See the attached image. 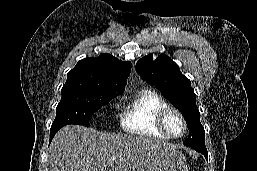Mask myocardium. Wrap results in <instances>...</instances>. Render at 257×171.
<instances>
[{"label":"myocardium","instance_id":"myocardium-1","mask_svg":"<svg viewBox=\"0 0 257 171\" xmlns=\"http://www.w3.org/2000/svg\"><path fill=\"white\" fill-rule=\"evenodd\" d=\"M172 113L178 115V117L180 118V120H181V122L183 124V131H182V133L180 135H173L168 130L167 118ZM157 126L165 135H167L169 138H172V139L181 138L182 136H184V134L187 131V121H186L185 116L183 115V113L179 109H177L175 107H171V106L166 107L165 109H163L159 113V115L157 117Z\"/></svg>","mask_w":257,"mask_h":171}]
</instances>
